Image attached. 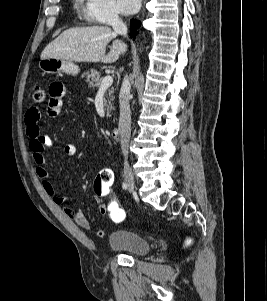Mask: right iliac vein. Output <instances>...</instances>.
<instances>
[{
	"label": "right iliac vein",
	"instance_id": "1",
	"mask_svg": "<svg viewBox=\"0 0 267 301\" xmlns=\"http://www.w3.org/2000/svg\"><path fill=\"white\" fill-rule=\"evenodd\" d=\"M124 179H125V182L127 184L129 191L133 192L134 187H135V181H134V176H133L132 170L128 166H126L124 168Z\"/></svg>",
	"mask_w": 267,
	"mask_h": 301
}]
</instances>
